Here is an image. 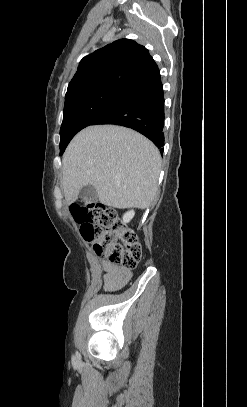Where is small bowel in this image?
Segmentation results:
<instances>
[{
  "label": "small bowel",
  "instance_id": "small-bowel-1",
  "mask_svg": "<svg viewBox=\"0 0 247 407\" xmlns=\"http://www.w3.org/2000/svg\"><path fill=\"white\" fill-rule=\"evenodd\" d=\"M100 266L105 271L102 279L103 287L106 290L122 288L133 276V271L131 269H126L107 261H100Z\"/></svg>",
  "mask_w": 247,
  "mask_h": 407
}]
</instances>
